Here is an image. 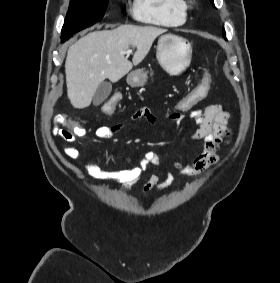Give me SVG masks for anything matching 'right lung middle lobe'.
Here are the masks:
<instances>
[{
	"label": "right lung middle lobe",
	"instance_id": "obj_1",
	"mask_svg": "<svg viewBox=\"0 0 280 283\" xmlns=\"http://www.w3.org/2000/svg\"><path fill=\"white\" fill-rule=\"evenodd\" d=\"M108 0H71L61 31V40L99 21L107 8Z\"/></svg>",
	"mask_w": 280,
	"mask_h": 283
}]
</instances>
